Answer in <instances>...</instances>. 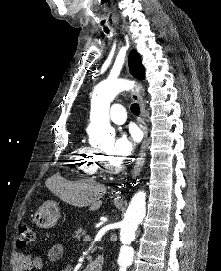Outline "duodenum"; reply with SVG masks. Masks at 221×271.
Instances as JSON below:
<instances>
[{"instance_id":"duodenum-1","label":"duodenum","mask_w":221,"mask_h":271,"mask_svg":"<svg viewBox=\"0 0 221 271\" xmlns=\"http://www.w3.org/2000/svg\"><path fill=\"white\" fill-rule=\"evenodd\" d=\"M104 264L103 255L99 254L94 257V259L83 268L82 271H102Z\"/></svg>"}]
</instances>
